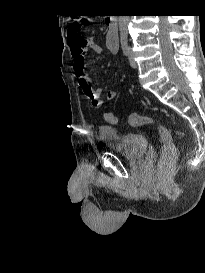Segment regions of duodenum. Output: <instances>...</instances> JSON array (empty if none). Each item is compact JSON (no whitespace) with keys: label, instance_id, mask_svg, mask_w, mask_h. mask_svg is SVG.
Instances as JSON below:
<instances>
[{"label":"duodenum","instance_id":"1","mask_svg":"<svg viewBox=\"0 0 205 273\" xmlns=\"http://www.w3.org/2000/svg\"><path fill=\"white\" fill-rule=\"evenodd\" d=\"M106 25L107 27L116 33V28H117V17L115 15L108 16L106 18Z\"/></svg>","mask_w":205,"mask_h":273}]
</instances>
